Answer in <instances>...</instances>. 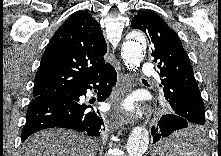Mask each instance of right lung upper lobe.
I'll return each instance as SVG.
<instances>
[{
	"mask_svg": "<svg viewBox=\"0 0 221 156\" xmlns=\"http://www.w3.org/2000/svg\"><path fill=\"white\" fill-rule=\"evenodd\" d=\"M107 44L97 21L87 12L69 17L55 32L35 76L33 97L66 94L99 74L109 63Z\"/></svg>",
	"mask_w": 221,
	"mask_h": 156,
	"instance_id": "cb5924a9",
	"label": "right lung upper lobe"
}]
</instances>
